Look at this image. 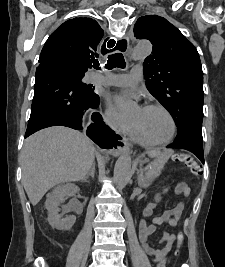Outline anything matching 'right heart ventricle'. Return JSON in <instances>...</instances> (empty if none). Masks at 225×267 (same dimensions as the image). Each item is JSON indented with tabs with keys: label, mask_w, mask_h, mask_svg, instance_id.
<instances>
[{
	"label": "right heart ventricle",
	"mask_w": 225,
	"mask_h": 267,
	"mask_svg": "<svg viewBox=\"0 0 225 267\" xmlns=\"http://www.w3.org/2000/svg\"><path fill=\"white\" fill-rule=\"evenodd\" d=\"M128 136L131 138L132 141L137 142L142 145H148L144 140L138 135L135 131L134 127L127 133Z\"/></svg>",
	"instance_id": "1"
}]
</instances>
